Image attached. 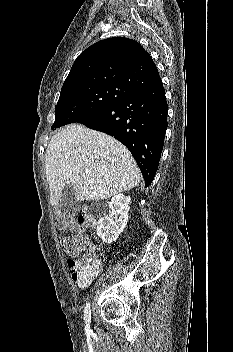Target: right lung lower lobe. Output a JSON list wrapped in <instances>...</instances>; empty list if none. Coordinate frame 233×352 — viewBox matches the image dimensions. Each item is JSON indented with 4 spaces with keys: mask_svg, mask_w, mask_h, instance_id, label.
Returning a JSON list of instances; mask_svg holds the SVG:
<instances>
[{
    "mask_svg": "<svg viewBox=\"0 0 233 352\" xmlns=\"http://www.w3.org/2000/svg\"><path fill=\"white\" fill-rule=\"evenodd\" d=\"M167 112L165 90L160 79L79 123L123 143L136 160L147 187L159 165Z\"/></svg>",
    "mask_w": 233,
    "mask_h": 352,
    "instance_id": "obj_1",
    "label": "right lung lower lobe"
}]
</instances>
